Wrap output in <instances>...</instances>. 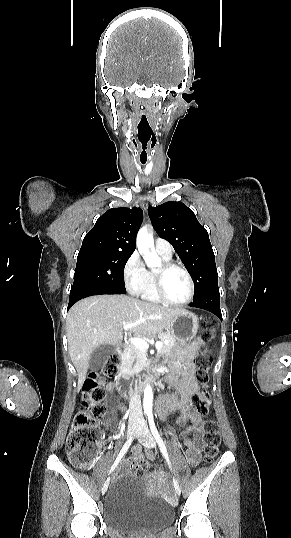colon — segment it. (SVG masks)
Wrapping results in <instances>:
<instances>
[{
  "mask_svg": "<svg viewBox=\"0 0 291 538\" xmlns=\"http://www.w3.org/2000/svg\"><path fill=\"white\" fill-rule=\"evenodd\" d=\"M213 320L205 317L200 322L201 337L208 340L213 337ZM120 355L115 352L107 359L101 372H94L86 379L81 396L80 411L75 417L72 429L67 439V454L70 461L79 468L87 469L95 461L101 438V419L106 414L102 403L105 397L103 385L105 377H111L118 372ZM211 357L206 352L197 354L193 359L195 380L201 389L189 400L188 404L202 415L208 414L211 398L208 392V378L211 367ZM221 437L218 425L214 420H208L204 432V455L207 461L212 460L218 453ZM149 468L148 462L141 460L131 466V471Z\"/></svg>",
  "mask_w": 291,
  "mask_h": 538,
  "instance_id": "colon-1",
  "label": "colon"
}]
</instances>
